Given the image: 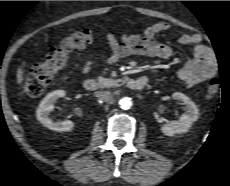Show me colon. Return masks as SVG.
<instances>
[{"instance_id":"obj_1","label":"colon","mask_w":230,"mask_h":186,"mask_svg":"<svg viewBox=\"0 0 230 186\" xmlns=\"http://www.w3.org/2000/svg\"><path fill=\"white\" fill-rule=\"evenodd\" d=\"M92 41V31L85 29L70 34L58 45L52 47L44 62L29 69L20 92L21 96L38 97L42 95L47 86L53 81L56 73L66 67L69 54L74 50L85 48ZM219 91V81L211 80L205 89L206 98H215Z\"/></svg>"}]
</instances>
